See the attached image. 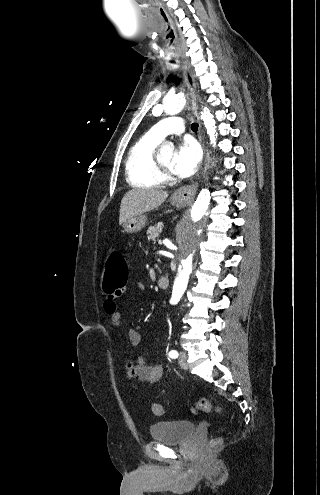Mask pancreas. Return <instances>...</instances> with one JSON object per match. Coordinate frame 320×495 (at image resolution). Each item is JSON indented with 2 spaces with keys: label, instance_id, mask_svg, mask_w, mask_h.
I'll return each instance as SVG.
<instances>
[{
  "label": "pancreas",
  "instance_id": "1",
  "mask_svg": "<svg viewBox=\"0 0 320 495\" xmlns=\"http://www.w3.org/2000/svg\"><path fill=\"white\" fill-rule=\"evenodd\" d=\"M162 228H163V223H158L154 226L149 227V229L147 230L148 240L155 241L162 232Z\"/></svg>",
  "mask_w": 320,
  "mask_h": 495
}]
</instances>
